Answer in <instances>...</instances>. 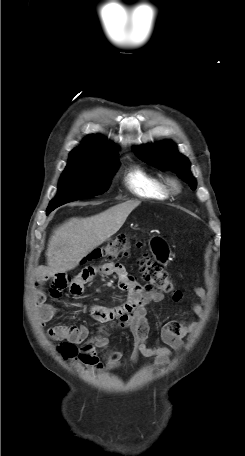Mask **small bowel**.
<instances>
[{
    "mask_svg": "<svg viewBox=\"0 0 245 456\" xmlns=\"http://www.w3.org/2000/svg\"><path fill=\"white\" fill-rule=\"evenodd\" d=\"M98 275H115L118 286L127 292V299L115 307L93 305L90 308L92 317L104 325L93 335L85 326L58 325L48 330V335L56 341L66 340L74 345H80L78 350L80 360L96 368L107 366L115 368L120 365L122 353L108 349L109 338L116 329H128L133 336L132 362H137L140 356L155 358L156 365L165 364L171 355V350H181L184 347L183 339L190 336L197 324L185 319L170 320L160 331V337L165 347H148L146 341L149 334L146 307L152 302H161L164 299L162 292L144 289L137 279L129 275L125 267L118 262H108L101 265H91L83 268L72 280L64 272L47 275L52 278L48 291L45 290V278L35 284L34 303L39 322L44 324L57 313V308L47 302V296L58 297L60 292L69 287L73 295H80L84 285L91 282ZM192 292L199 298V302L191 304L192 311L198 316H204V307L207 304V293L203 287L195 286ZM101 351L105 358L102 363L97 355Z\"/></svg>",
    "mask_w": 245,
    "mask_h": 456,
    "instance_id": "1",
    "label": "small bowel"
}]
</instances>
